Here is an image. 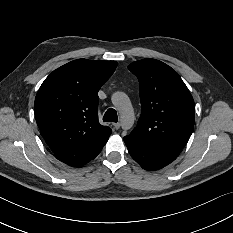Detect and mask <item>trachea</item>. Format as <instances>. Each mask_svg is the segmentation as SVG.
<instances>
[{"instance_id":"1","label":"trachea","mask_w":233,"mask_h":233,"mask_svg":"<svg viewBox=\"0 0 233 233\" xmlns=\"http://www.w3.org/2000/svg\"><path fill=\"white\" fill-rule=\"evenodd\" d=\"M103 121L104 122H117L118 116H117L116 110L113 108L108 109L103 116Z\"/></svg>"}]
</instances>
